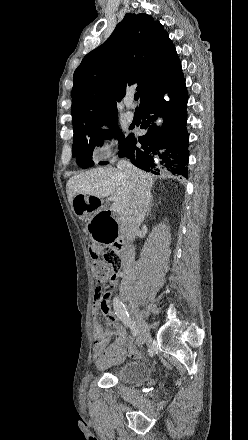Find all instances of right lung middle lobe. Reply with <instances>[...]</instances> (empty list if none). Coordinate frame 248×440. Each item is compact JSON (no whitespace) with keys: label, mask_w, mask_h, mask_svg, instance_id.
Masks as SVG:
<instances>
[{"label":"right lung middle lobe","mask_w":248,"mask_h":440,"mask_svg":"<svg viewBox=\"0 0 248 440\" xmlns=\"http://www.w3.org/2000/svg\"><path fill=\"white\" fill-rule=\"evenodd\" d=\"M111 127L108 130L96 129L92 131H86L73 136L74 143L72 145L73 157H76L77 164L82 168H88L94 165L92 160V152L95 146L102 145L104 139H110L112 136L119 141V156L122 157L129 137H125L117 123L109 125ZM108 162H100L101 165L107 164Z\"/></svg>","instance_id":"dd1d6c3e"}]
</instances>
